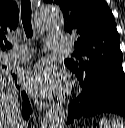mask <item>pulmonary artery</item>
<instances>
[{"mask_svg":"<svg viewBox=\"0 0 125 128\" xmlns=\"http://www.w3.org/2000/svg\"><path fill=\"white\" fill-rule=\"evenodd\" d=\"M69 37L65 34H52L49 36L48 47L53 50L66 48ZM31 53L25 49L13 50L4 55L3 60L8 64H17L27 61Z\"/></svg>","mask_w":125,"mask_h":128,"instance_id":"pulmonary-artery-1","label":"pulmonary artery"}]
</instances>
